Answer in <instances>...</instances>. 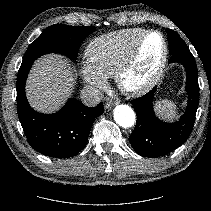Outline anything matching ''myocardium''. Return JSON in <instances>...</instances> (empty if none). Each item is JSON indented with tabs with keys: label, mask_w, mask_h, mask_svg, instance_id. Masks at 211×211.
Masks as SVG:
<instances>
[{
	"label": "myocardium",
	"mask_w": 211,
	"mask_h": 211,
	"mask_svg": "<svg viewBox=\"0 0 211 211\" xmlns=\"http://www.w3.org/2000/svg\"><path fill=\"white\" fill-rule=\"evenodd\" d=\"M152 34H157L162 42V55L157 68L153 74L143 83L132 86L127 83V77L138 63L140 51L145 39ZM169 58V47L167 40L162 32L155 29L145 30L136 40L127 57L118 67L115 73V81L119 89L130 96H142L152 90L162 78Z\"/></svg>",
	"instance_id": "f54148a6"
}]
</instances>
